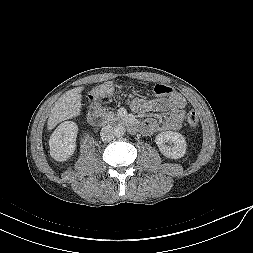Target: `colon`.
I'll use <instances>...</instances> for the list:
<instances>
[{"label": "colon", "mask_w": 253, "mask_h": 253, "mask_svg": "<svg viewBox=\"0 0 253 253\" xmlns=\"http://www.w3.org/2000/svg\"><path fill=\"white\" fill-rule=\"evenodd\" d=\"M112 91L111 85H103L101 87H98L94 89L91 92L90 98L92 100H97L101 96L110 93ZM173 91V89L167 85L164 84H157L153 88V93L157 96H165L170 94ZM187 123L190 127L195 128L198 126L199 123V117L198 114L194 111H191L187 116Z\"/></svg>", "instance_id": "obj_1"}]
</instances>
